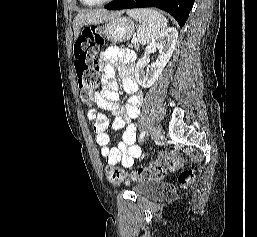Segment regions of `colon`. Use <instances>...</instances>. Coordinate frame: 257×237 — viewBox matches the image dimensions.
I'll return each instance as SVG.
<instances>
[{"label":"colon","mask_w":257,"mask_h":237,"mask_svg":"<svg viewBox=\"0 0 257 237\" xmlns=\"http://www.w3.org/2000/svg\"><path fill=\"white\" fill-rule=\"evenodd\" d=\"M103 44V39L94 28H85L74 43V65L78 80V87L82 98L90 102L94 90L99 82V65L97 60L98 47ZM164 163H153L149 167L139 168L131 174V179L136 181L157 180L163 178L168 170H175L180 165V158L175 153L163 155ZM105 175L109 183L115 186L127 184L128 175L115 166H107ZM195 177L191 169L180 172L178 181L181 186H189Z\"/></svg>","instance_id":"colon-1"}]
</instances>
